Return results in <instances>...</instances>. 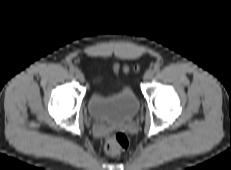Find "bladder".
<instances>
[{
  "label": "bladder",
  "instance_id": "31cf9c89",
  "mask_svg": "<svg viewBox=\"0 0 231 170\" xmlns=\"http://www.w3.org/2000/svg\"><path fill=\"white\" fill-rule=\"evenodd\" d=\"M139 110V100L133 89L122 86L113 94L94 91L88 100V111L97 124L113 126L135 117Z\"/></svg>",
  "mask_w": 231,
  "mask_h": 170
}]
</instances>
